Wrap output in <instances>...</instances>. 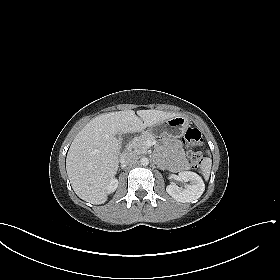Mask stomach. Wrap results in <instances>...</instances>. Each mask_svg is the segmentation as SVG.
Here are the masks:
<instances>
[{"label":"stomach","mask_w":280,"mask_h":280,"mask_svg":"<svg viewBox=\"0 0 280 280\" xmlns=\"http://www.w3.org/2000/svg\"><path fill=\"white\" fill-rule=\"evenodd\" d=\"M189 125L188 119L184 116L169 118L159 124L162 132L173 138L181 137Z\"/></svg>","instance_id":"1"}]
</instances>
